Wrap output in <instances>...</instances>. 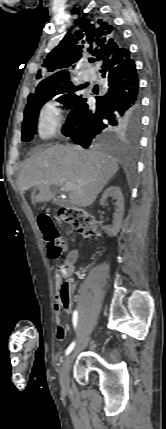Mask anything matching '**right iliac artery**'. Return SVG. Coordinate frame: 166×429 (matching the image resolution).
<instances>
[{
	"label": "right iliac artery",
	"mask_w": 166,
	"mask_h": 429,
	"mask_svg": "<svg viewBox=\"0 0 166 429\" xmlns=\"http://www.w3.org/2000/svg\"><path fill=\"white\" fill-rule=\"evenodd\" d=\"M77 318H78V313H77V311H74L73 312L74 329H76V327H77ZM74 346H75V341L70 344V346L67 348L65 354L68 355L73 350Z\"/></svg>",
	"instance_id": "right-iliac-artery-1"
}]
</instances>
